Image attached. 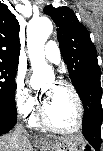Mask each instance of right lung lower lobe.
I'll return each instance as SVG.
<instances>
[{
	"label": "right lung lower lobe",
	"mask_w": 103,
	"mask_h": 151,
	"mask_svg": "<svg viewBox=\"0 0 103 151\" xmlns=\"http://www.w3.org/2000/svg\"><path fill=\"white\" fill-rule=\"evenodd\" d=\"M16 124V114L0 108V135L10 131Z\"/></svg>",
	"instance_id": "obj_1"
}]
</instances>
